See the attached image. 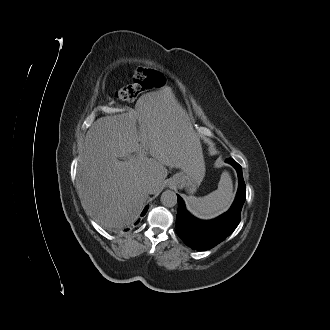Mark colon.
I'll return each mask as SVG.
<instances>
[{
    "mask_svg": "<svg viewBox=\"0 0 330 330\" xmlns=\"http://www.w3.org/2000/svg\"><path fill=\"white\" fill-rule=\"evenodd\" d=\"M163 82L162 75L148 67H140L136 70L132 83L120 87L117 97L123 101H131L143 91L159 86Z\"/></svg>",
    "mask_w": 330,
    "mask_h": 330,
    "instance_id": "1",
    "label": "colon"
}]
</instances>
